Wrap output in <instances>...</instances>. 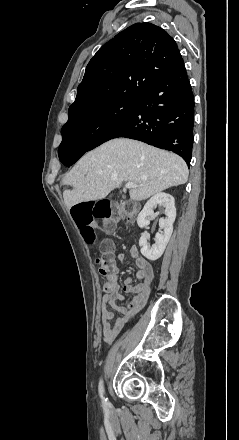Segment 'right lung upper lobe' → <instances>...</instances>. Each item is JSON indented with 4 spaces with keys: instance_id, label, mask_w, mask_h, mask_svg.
Segmentation results:
<instances>
[{
    "instance_id": "1",
    "label": "right lung upper lobe",
    "mask_w": 239,
    "mask_h": 440,
    "mask_svg": "<svg viewBox=\"0 0 239 440\" xmlns=\"http://www.w3.org/2000/svg\"><path fill=\"white\" fill-rule=\"evenodd\" d=\"M182 59L174 39L162 28L136 23L104 44L90 60L69 117L125 96L139 98Z\"/></svg>"
}]
</instances>
